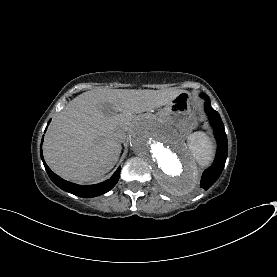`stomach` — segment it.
<instances>
[{
  "label": "stomach",
  "mask_w": 277,
  "mask_h": 277,
  "mask_svg": "<svg viewBox=\"0 0 277 277\" xmlns=\"http://www.w3.org/2000/svg\"><path fill=\"white\" fill-rule=\"evenodd\" d=\"M198 104L183 91L159 112V117L173 124L183 134L191 132L198 124Z\"/></svg>",
  "instance_id": "obj_1"
}]
</instances>
